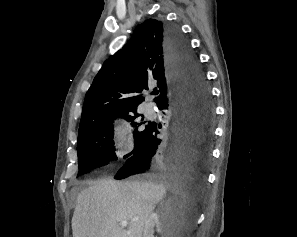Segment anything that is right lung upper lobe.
Segmentation results:
<instances>
[{
    "mask_svg": "<svg viewBox=\"0 0 297 237\" xmlns=\"http://www.w3.org/2000/svg\"><path fill=\"white\" fill-rule=\"evenodd\" d=\"M165 26L148 19L140 24L127 45L104 63L86 93L78 135L115 115L137 112L144 100L135 94L155 81L159 105L170 94L172 78L165 48Z\"/></svg>",
    "mask_w": 297,
    "mask_h": 237,
    "instance_id": "cb5924a9",
    "label": "right lung upper lobe"
}]
</instances>
